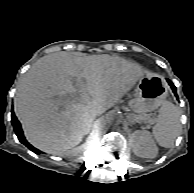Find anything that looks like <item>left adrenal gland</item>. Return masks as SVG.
<instances>
[{
    "instance_id": "obj_1",
    "label": "left adrenal gland",
    "mask_w": 194,
    "mask_h": 193,
    "mask_svg": "<svg viewBox=\"0 0 194 193\" xmlns=\"http://www.w3.org/2000/svg\"><path fill=\"white\" fill-rule=\"evenodd\" d=\"M129 122H130V124L132 125V124H134V123L137 122V121L134 120V119H132V118H130ZM138 123H139V122H138Z\"/></svg>"
}]
</instances>
